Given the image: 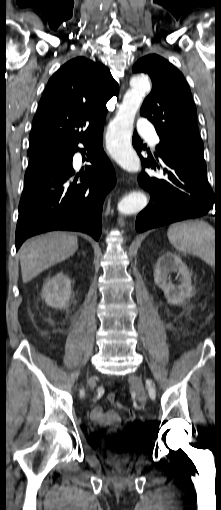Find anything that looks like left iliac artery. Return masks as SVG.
I'll list each match as a JSON object with an SVG mask.
<instances>
[{
    "label": "left iliac artery",
    "mask_w": 221,
    "mask_h": 510,
    "mask_svg": "<svg viewBox=\"0 0 221 510\" xmlns=\"http://www.w3.org/2000/svg\"><path fill=\"white\" fill-rule=\"evenodd\" d=\"M147 386H148V391H149V395H150L151 399H155L156 393L149 381H147Z\"/></svg>",
    "instance_id": "44dca946"
}]
</instances>
